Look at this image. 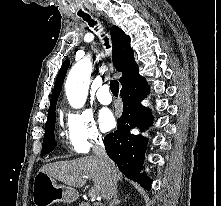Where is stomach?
Here are the masks:
<instances>
[{"label":"stomach","mask_w":221,"mask_h":206,"mask_svg":"<svg viewBox=\"0 0 221 206\" xmlns=\"http://www.w3.org/2000/svg\"><path fill=\"white\" fill-rule=\"evenodd\" d=\"M78 198V192L45 173L39 172L34 178L32 199L35 206H50L53 202H72Z\"/></svg>","instance_id":"stomach-1"}]
</instances>
